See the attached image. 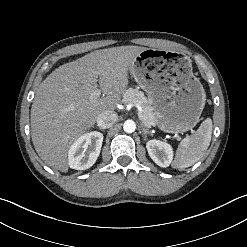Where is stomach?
I'll return each instance as SVG.
<instances>
[{
	"label": "stomach",
	"mask_w": 247,
	"mask_h": 247,
	"mask_svg": "<svg viewBox=\"0 0 247 247\" xmlns=\"http://www.w3.org/2000/svg\"><path fill=\"white\" fill-rule=\"evenodd\" d=\"M130 71L147 93L161 131L183 133L196 126L206 94L188 57L173 50L146 49L136 56Z\"/></svg>",
	"instance_id": "obj_1"
}]
</instances>
